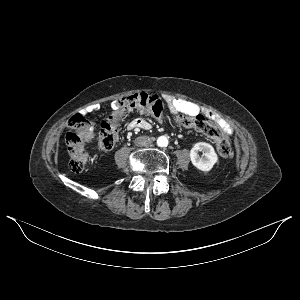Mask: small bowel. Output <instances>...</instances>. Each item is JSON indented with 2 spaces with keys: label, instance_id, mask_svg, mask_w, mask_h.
Returning <instances> with one entry per match:
<instances>
[{
  "label": "small bowel",
  "instance_id": "small-bowel-1",
  "mask_svg": "<svg viewBox=\"0 0 300 300\" xmlns=\"http://www.w3.org/2000/svg\"><path fill=\"white\" fill-rule=\"evenodd\" d=\"M165 102L171 113L180 112L188 115H196L203 113L207 118L213 121L221 129L223 134L230 135L233 132V128L231 127V125L227 121H225L219 114L210 109L203 108L194 102L171 96L166 97ZM93 110L94 108H87L83 111V115H88ZM129 128L147 130L150 128V123L144 118H135L129 123Z\"/></svg>",
  "mask_w": 300,
  "mask_h": 300
}]
</instances>
